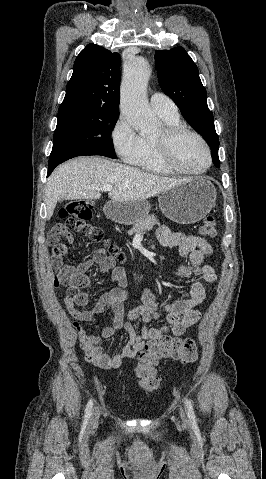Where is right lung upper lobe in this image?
Segmentation results:
<instances>
[{
  "label": "right lung upper lobe",
  "instance_id": "obj_1",
  "mask_svg": "<svg viewBox=\"0 0 266 479\" xmlns=\"http://www.w3.org/2000/svg\"><path fill=\"white\" fill-rule=\"evenodd\" d=\"M119 53L88 44L74 62L58 114L119 113Z\"/></svg>",
  "mask_w": 266,
  "mask_h": 479
}]
</instances>
